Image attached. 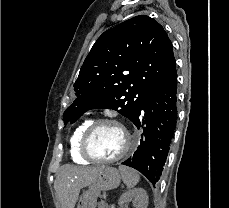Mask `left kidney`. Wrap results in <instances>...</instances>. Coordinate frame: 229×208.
I'll list each match as a JSON object with an SVG mask.
<instances>
[{
    "label": "left kidney",
    "mask_w": 229,
    "mask_h": 208,
    "mask_svg": "<svg viewBox=\"0 0 229 208\" xmlns=\"http://www.w3.org/2000/svg\"><path fill=\"white\" fill-rule=\"evenodd\" d=\"M125 202H135L136 208H147L148 196L147 192L143 188H135V190H129L126 194H122L119 198L120 208H124Z\"/></svg>",
    "instance_id": "5707ae66"
}]
</instances>
